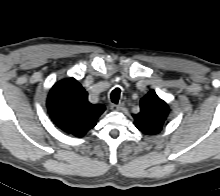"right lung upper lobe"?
I'll use <instances>...</instances> for the list:
<instances>
[{"instance_id":"right-lung-upper-lobe-1","label":"right lung upper lobe","mask_w":220,"mask_h":196,"mask_svg":"<svg viewBox=\"0 0 220 196\" xmlns=\"http://www.w3.org/2000/svg\"><path fill=\"white\" fill-rule=\"evenodd\" d=\"M47 109L53 122L76 137L84 136L96 125L105 111L102 104H91L85 89L74 78L57 82L47 98Z\"/></svg>"}]
</instances>
